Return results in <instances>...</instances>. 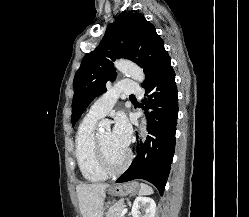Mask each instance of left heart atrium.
I'll return each mask as SVG.
<instances>
[{"label":"left heart atrium","mask_w":249,"mask_h":217,"mask_svg":"<svg viewBox=\"0 0 249 217\" xmlns=\"http://www.w3.org/2000/svg\"><path fill=\"white\" fill-rule=\"evenodd\" d=\"M130 135L131 128L127 119L122 115L118 116L111 132L113 143L121 149H126L130 141Z\"/></svg>","instance_id":"left-heart-atrium-1"}]
</instances>
